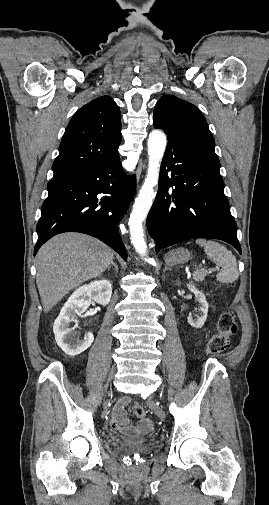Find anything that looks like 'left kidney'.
<instances>
[{
  "label": "left kidney",
  "instance_id": "5707ae66",
  "mask_svg": "<svg viewBox=\"0 0 269 505\" xmlns=\"http://www.w3.org/2000/svg\"><path fill=\"white\" fill-rule=\"evenodd\" d=\"M187 288L195 294V299L196 302H198L199 307L198 310L200 312L199 315H196L195 318L192 316H189L187 318V321L189 325L192 327L199 329L202 328L206 319H207V314H208V302L206 301V297L203 292L199 291L196 286L192 283L187 284Z\"/></svg>",
  "mask_w": 269,
  "mask_h": 505
}]
</instances>
